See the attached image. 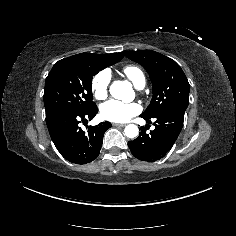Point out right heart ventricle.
<instances>
[{"mask_svg":"<svg viewBox=\"0 0 236 236\" xmlns=\"http://www.w3.org/2000/svg\"><path fill=\"white\" fill-rule=\"evenodd\" d=\"M125 76L136 86L138 87L141 84H144L145 77L142 70L135 65H127L123 68Z\"/></svg>","mask_w":236,"mask_h":236,"instance_id":"right-heart-ventricle-1","label":"right heart ventricle"}]
</instances>
